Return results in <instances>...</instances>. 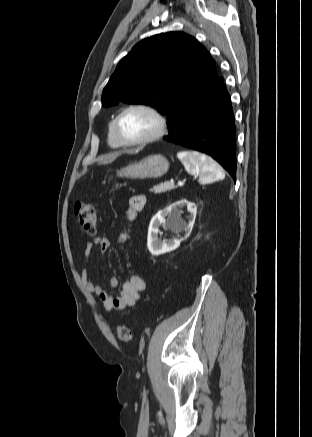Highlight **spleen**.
<instances>
[{"mask_svg": "<svg viewBox=\"0 0 312 437\" xmlns=\"http://www.w3.org/2000/svg\"><path fill=\"white\" fill-rule=\"evenodd\" d=\"M177 157L189 174L199 176L201 183H211L225 178L221 166L205 154L182 151L178 152Z\"/></svg>", "mask_w": 312, "mask_h": 437, "instance_id": "obj_1", "label": "spleen"}]
</instances>
